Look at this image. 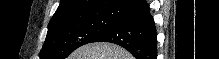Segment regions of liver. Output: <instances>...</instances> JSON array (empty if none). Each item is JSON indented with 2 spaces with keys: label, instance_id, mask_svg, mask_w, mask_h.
<instances>
[{
  "label": "liver",
  "instance_id": "obj_1",
  "mask_svg": "<svg viewBox=\"0 0 219 59\" xmlns=\"http://www.w3.org/2000/svg\"><path fill=\"white\" fill-rule=\"evenodd\" d=\"M68 59H133V56L120 46L100 42L78 48Z\"/></svg>",
  "mask_w": 219,
  "mask_h": 59
}]
</instances>
